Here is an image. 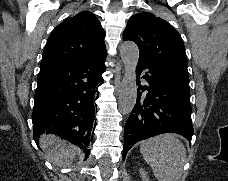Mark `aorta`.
<instances>
[{
	"label": "aorta",
	"mask_w": 228,
	"mask_h": 181,
	"mask_svg": "<svg viewBox=\"0 0 228 181\" xmlns=\"http://www.w3.org/2000/svg\"><path fill=\"white\" fill-rule=\"evenodd\" d=\"M120 55L125 72L119 93L118 108L123 115H127L132 111L137 99L135 71L139 60V49L134 42L126 41L120 46Z\"/></svg>",
	"instance_id": "762f6f07"
}]
</instances>
